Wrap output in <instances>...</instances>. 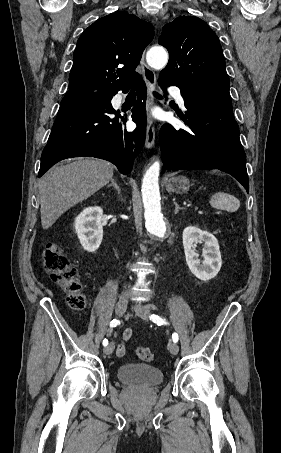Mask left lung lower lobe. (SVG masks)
<instances>
[{"instance_id":"left-lung-lower-lobe-1","label":"left lung lower lobe","mask_w":281,"mask_h":453,"mask_svg":"<svg viewBox=\"0 0 281 453\" xmlns=\"http://www.w3.org/2000/svg\"><path fill=\"white\" fill-rule=\"evenodd\" d=\"M165 89L174 85L158 80ZM189 130L165 124L160 130L164 170L219 169L231 174L249 192L246 155L239 139L232 103L226 97H183ZM188 118V119H186Z\"/></svg>"}]
</instances>
